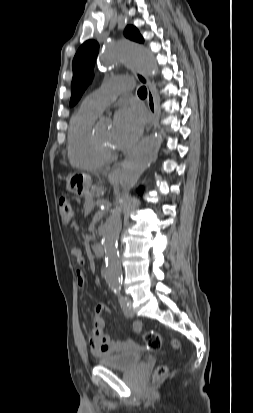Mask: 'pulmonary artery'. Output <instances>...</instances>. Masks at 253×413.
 Returning a JSON list of instances; mask_svg holds the SVG:
<instances>
[{
  "instance_id": "obj_1",
  "label": "pulmonary artery",
  "mask_w": 253,
  "mask_h": 413,
  "mask_svg": "<svg viewBox=\"0 0 253 413\" xmlns=\"http://www.w3.org/2000/svg\"><path fill=\"white\" fill-rule=\"evenodd\" d=\"M129 87L119 80L112 79L105 82L98 90L89 94L82 102V106L96 114H100L116 97Z\"/></svg>"
}]
</instances>
